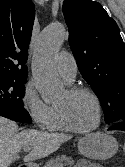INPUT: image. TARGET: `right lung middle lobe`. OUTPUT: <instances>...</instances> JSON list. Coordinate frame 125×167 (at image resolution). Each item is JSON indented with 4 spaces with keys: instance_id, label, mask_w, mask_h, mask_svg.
Masks as SVG:
<instances>
[{
    "instance_id": "right-lung-middle-lobe-1",
    "label": "right lung middle lobe",
    "mask_w": 125,
    "mask_h": 167,
    "mask_svg": "<svg viewBox=\"0 0 125 167\" xmlns=\"http://www.w3.org/2000/svg\"><path fill=\"white\" fill-rule=\"evenodd\" d=\"M26 79L0 78V102L23 107Z\"/></svg>"
}]
</instances>
